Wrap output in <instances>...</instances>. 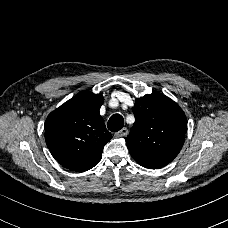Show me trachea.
I'll return each mask as SVG.
<instances>
[{
  "mask_svg": "<svg viewBox=\"0 0 228 228\" xmlns=\"http://www.w3.org/2000/svg\"><path fill=\"white\" fill-rule=\"evenodd\" d=\"M124 126V119L120 114H114L107 122V127L111 132H117Z\"/></svg>",
  "mask_w": 228,
  "mask_h": 228,
  "instance_id": "trachea-1",
  "label": "trachea"
}]
</instances>
